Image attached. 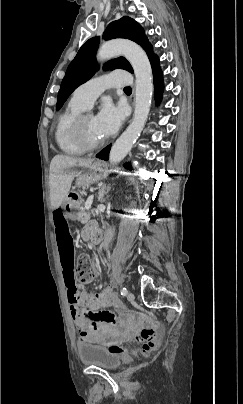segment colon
<instances>
[{"label": "colon", "instance_id": "1", "mask_svg": "<svg viewBox=\"0 0 243 404\" xmlns=\"http://www.w3.org/2000/svg\"><path fill=\"white\" fill-rule=\"evenodd\" d=\"M95 278V269L88 255H80L76 267V279L80 283H90ZM75 304L83 305L88 311L106 310L107 307L116 305V298L111 289H106L98 294H88L84 291H76L71 296ZM140 344L139 351L148 353L155 350L160 343V334L155 327L144 328L137 337Z\"/></svg>", "mask_w": 243, "mask_h": 404}]
</instances>
